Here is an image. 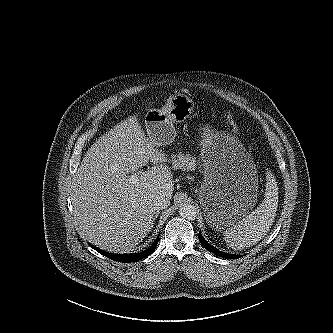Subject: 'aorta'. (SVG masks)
Returning <instances> with one entry per match:
<instances>
[{"mask_svg":"<svg viewBox=\"0 0 333 333\" xmlns=\"http://www.w3.org/2000/svg\"><path fill=\"white\" fill-rule=\"evenodd\" d=\"M179 214L186 220H195L197 217V209L194 205L183 204L179 209Z\"/></svg>","mask_w":333,"mask_h":333,"instance_id":"obj_1","label":"aorta"}]
</instances>
